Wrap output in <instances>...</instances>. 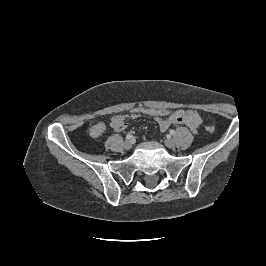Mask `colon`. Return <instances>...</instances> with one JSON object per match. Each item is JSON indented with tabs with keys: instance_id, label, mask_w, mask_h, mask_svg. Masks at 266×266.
<instances>
[{
	"instance_id": "1",
	"label": "colon",
	"mask_w": 266,
	"mask_h": 266,
	"mask_svg": "<svg viewBox=\"0 0 266 266\" xmlns=\"http://www.w3.org/2000/svg\"><path fill=\"white\" fill-rule=\"evenodd\" d=\"M173 112L167 108H157V107H148V106H136L131 111L126 114L128 117L136 119L142 116H149L152 118H158V117H168ZM208 132H214L215 127L214 126H206L205 127Z\"/></svg>"
}]
</instances>
